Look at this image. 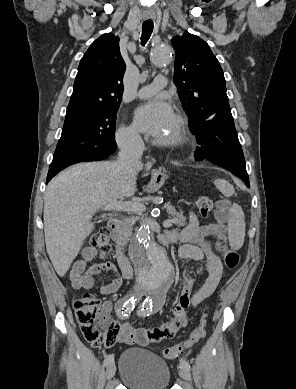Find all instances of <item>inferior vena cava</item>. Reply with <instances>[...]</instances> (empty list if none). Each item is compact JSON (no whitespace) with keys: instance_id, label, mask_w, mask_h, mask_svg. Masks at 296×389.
Here are the masks:
<instances>
[{"instance_id":"inferior-vena-cava-1","label":"inferior vena cava","mask_w":296,"mask_h":389,"mask_svg":"<svg viewBox=\"0 0 296 389\" xmlns=\"http://www.w3.org/2000/svg\"><path fill=\"white\" fill-rule=\"evenodd\" d=\"M144 150V143L138 133H129L125 135L120 142V152L118 162L131 168L138 162Z\"/></svg>"}]
</instances>
